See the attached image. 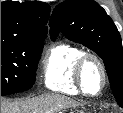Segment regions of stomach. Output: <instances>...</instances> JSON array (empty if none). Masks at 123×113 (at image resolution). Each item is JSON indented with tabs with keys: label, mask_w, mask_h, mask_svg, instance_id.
I'll list each match as a JSON object with an SVG mask.
<instances>
[{
	"label": "stomach",
	"mask_w": 123,
	"mask_h": 113,
	"mask_svg": "<svg viewBox=\"0 0 123 113\" xmlns=\"http://www.w3.org/2000/svg\"><path fill=\"white\" fill-rule=\"evenodd\" d=\"M71 113H84L82 110H79V109H75V110H72Z\"/></svg>",
	"instance_id": "1"
}]
</instances>
